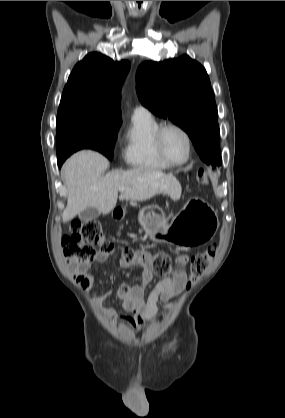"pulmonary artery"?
I'll list each match as a JSON object with an SVG mask.
<instances>
[{
	"label": "pulmonary artery",
	"mask_w": 285,
	"mask_h": 418,
	"mask_svg": "<svg viewBox=\"0 0 285 418\" xmlns=\"http://www.w3.org/2000/svg\"><path fill=\"white\" fill-rule=\"evenodd\" d=\"M150 116L149 110L144 107H136L132 112V119L148 118Z\"/></svg>",
	"instance_id": "pulmonary-artery-1"
}]
</instances>
